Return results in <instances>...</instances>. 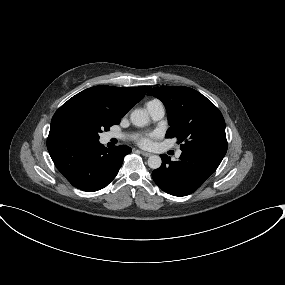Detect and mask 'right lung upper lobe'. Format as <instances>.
<instances>
[{"mask_svg": "<svg viewBox=\"0 0 285 285\" xmlns=\"http://www.w3.org/2000/svg\"><path fill=\"white\" fill-rule=\"evenodd\" d=\"M150 88V86L127 88L99 85L85 89L56 111L50 128L59 127L58 119L61 115L73 112H103L120 121Z\"/></svg>", "mask_w": 285, "mask_h": 285, "instance_id": "1", "label": "right lung upper lobe"}]
</instances>
